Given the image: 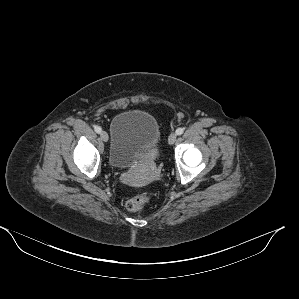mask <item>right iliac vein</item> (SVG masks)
<instances>
[{
  "mask_svg": "<svg viewBox=\"0 0 299 299\" xmlns=\"http://www.w3.org/2000/svg\"><path fill=\"white\" fill-rule=\"evenodd\" d=\"M100 137L104 142H107L109 139L108 134L105 131L100 132Z\"/></svg>",
  "mask_w": 299,
  "mask_h": 299,
  "instance_id": "right-iliac-vein-1",
  "label": "right iliac vein"
}]
</instances>
